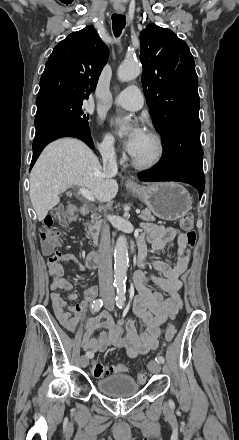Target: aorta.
I'll list each match as a JSON object with an SVG mask.
<instances>
[{"label":"aorta","instance_id":"aorta-1","mask_svg":"<svg viewBox=\"0 0 239 440\" xmlns=\"http://www.w3.org/2000/svg\"><path fill=\"white\" fill-rule=\"evenodd\" d=\"M141 72V66L138 62L133 64H123L118 68L117 76L120 82H131L138 78ZM127 128L122 126V132H125ZM123 136V134H119ZM114 286L119 290H123L127 278V270L129 266L127 240L125 236H119L116 246L114 248Z\"/></svg>","mask_w":239,"mask_h":440}]
</instances>
